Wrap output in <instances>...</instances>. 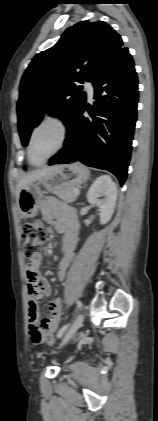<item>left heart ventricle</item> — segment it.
<instances>
[{"label": "left heart ventricle", "mask_w": 158, "mask_h": 421, "mask_svg": "<svg viewBox=\"0 0 158 421\" xmlns=\"http://www.w3.org/2000/svg\"><path fill=\"white\" fill-rule=\"evenodd\" d=\"M60 140L59 128L54 124H46L35 133L31 148V160L39 163L48 157L58 146Z\"/></svg>", "instance_id": "b2bd125f"}]
</instances>
